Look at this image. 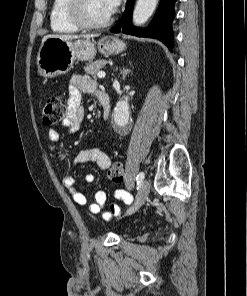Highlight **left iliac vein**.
I'll return each mask as SVG.
<instances>
[{
    "label": "left iliac vein",
    "instance_id": "1",
    "mask_svg": "<svg viewBox=\"0 0 247 296\" xmlns=\"http://www.w3.org/2000/svg\"><path fill=\"white\" fill-rule=\"evenodd\" d=\"M150 191V184L147 180H144L140 186V189L136 196V201L134 205L127 211V215H131L136 212L142 204L145 202L146 198L148 197Z\"/></svg>",
    "mask_w": 247,
    "mask_h": 296
}]
</instances>
